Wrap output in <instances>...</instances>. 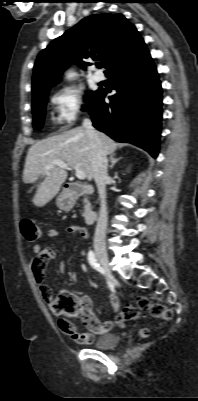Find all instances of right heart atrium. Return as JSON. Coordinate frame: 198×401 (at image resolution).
<instances>
[{
	"instance_id": "d8ad5b80",
	"label": "right heart atrium",
	"mask_w": 198,
	"mask_h": 401,
	"mask_svg": "<svg viewBox=\"0 0 198 401\" xmlns=\"http://www.w3.org/2000/svg\"><path fill=\"white\" fill-rule=\"evenodd\" d=\"M51 103L55 110L56 122L64 127L71 126L84 108L82 94L70 87L55 91L51 96Z\"/></svg>"
}]
</instances>
